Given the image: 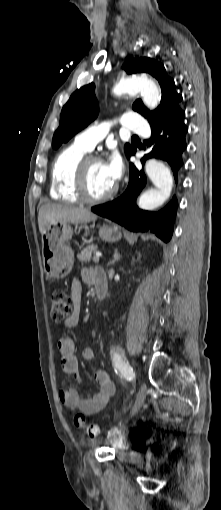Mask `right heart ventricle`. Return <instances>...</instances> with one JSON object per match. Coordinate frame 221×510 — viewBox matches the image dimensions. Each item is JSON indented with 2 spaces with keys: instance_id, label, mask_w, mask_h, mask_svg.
I'll list each match as a JSON object with an SVG mask.
<instances>
[{
  "instance_id": "right-heart-ventricle-1",
  "label": "right heart ventricle",
  "mask_w": 221,
  "mask_h": 510,
  "mask_svg": "<svg viewBox=\"0 0 221 510\" xmlns=\"http://www.w3.org/2000/svg\"><path fill=\"white\" fill-rule=\"evenodd\" d=\"M87 149L76 142L62 149L53 161L51 168L50 196L56 200L78 203L73 189L74 170Z\"/></svg>"
}]
</instances>
